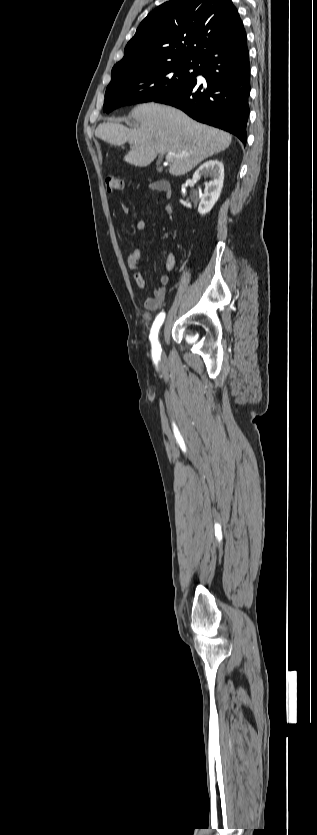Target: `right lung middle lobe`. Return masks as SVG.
I'll return each mask as SVG.
<instances>
[{"instance_id": "1", "label": "right lung middle lobe", "mask_w": 317, "mask_h": 835, "mask_svg": "<svg viewBox=\"0 0 317 835\" xmlns=\"http://www.w3.org/2000/svg\"><path fill=\"white\" fill-rule=\"evenodd\" d=\"M198 61L168 63L139 71L112 73L105 93L103 111L135 103L154 101L165 93L191 82L197 74ZM189 69H194L189 73Z\"/></svg>"}]
</instances>
